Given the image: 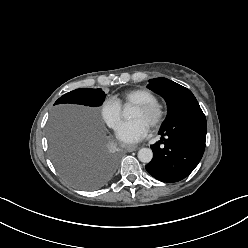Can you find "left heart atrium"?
<instances>
[{"label":"left heart atrium","mask_w":248,"mask_h":248,"mask_svg":"<svg viewBox=\"0 0 248 248\" xmlns=\"http://www.w3.org/2000/svg\"><path fill=\"white\" fill-rule=\"evenodd\" d=\"M148 133V125L141 119H132L118 125L116 135L124 143L132 144L142 140Z\"/></svg>","instance_id":"left-heart-atrium-1"}]
</instances>
